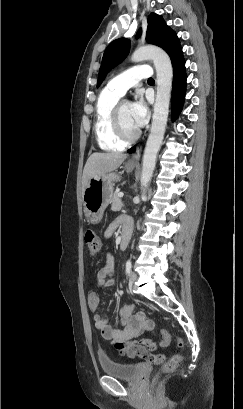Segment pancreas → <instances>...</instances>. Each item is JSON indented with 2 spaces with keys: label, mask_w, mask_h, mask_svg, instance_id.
<instances>
[{
  "label": "pancreas",
  "mask_w": 243,
  "mask_h": 409,
  "mask_svg": "<svg viewBox=\"0 0 243 409\" xmlns=\"http://www.w3.org/2000/svg\"><path fill=\"white\" fill-rule=\"evenodd\" d=\"M119 192H114L112 196V205H111V210L112 211H120L123 207V203L118 196Z\"/></svg>",
  "instance_id": "pancreas-1"
}]
</instances>
